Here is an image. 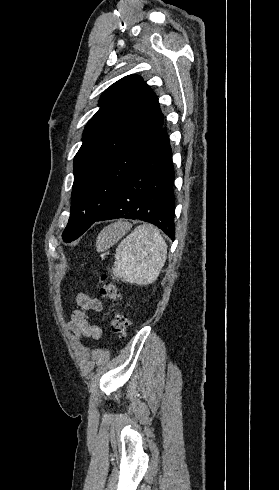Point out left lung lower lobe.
Listing matches in <instances>:
<instances>
[{
    "label": "left lung lower lobe",
    "instance_id": "0a47b994",
    "mask_svg": "<svg viewBox=\"0 0 279 490\" xmlns=\"http://www.w3.org/2000/svg\"><path fill=\"white\" fill-rule=\"evenodd\" d=\"M174 169L166 128L147 145L125 178L110 207L97 219H139L156 225L172 240Z\"/></svg>",
    "mask_w": 279,
    "mask_h": 490
}]
</instances>
